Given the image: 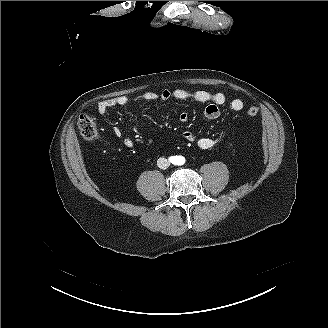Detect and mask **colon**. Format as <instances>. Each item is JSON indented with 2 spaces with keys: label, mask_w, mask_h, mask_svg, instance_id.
<instances>
[{
  "label": "colon",
  "mask_w": 328,
  "mask_h": 328,
  "mask_svg": "<svg viewBox=\"0 0 328 328\" xmlns=\"http://www.w3.org/2000/svg\"><path fill=\"white\" fill-rule=\"evenodd\" d=\"M247 115L255 117L259 109L255 106H251L247 109ZM78 127L81 135L86 139H94L97 136L98 130L95 120L88 115H80L78 119Z\"/></svg>",
  "instance_id": "1"
}]
</instances>
